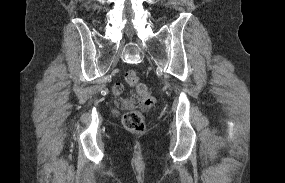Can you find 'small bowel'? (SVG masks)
<instances>
[{"label":"small bowel","mask_w":285,"mask_h":183,"mask_svg":"<svg viewBox=\"0 0 285 183\" xmlns=\"http://www.w3.org/2000/svg\"><path fill=\"white\" fill-rule=\"evenodd\" d=\"M113 95L115 96V101L120 108H129L130 99L125 96V87L122 83L118 82L113 85L112 88Z\"/></svg>","instance_id":"1"}]
</instances>
